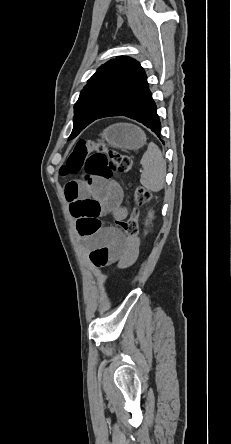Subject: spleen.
I'll return each instance as SVG.
<instances>
[{
  "label": "spleen",
  "instance_id": "3e777b00",
  "mask_svg": "<svg viewBox=\"0 0 231 444\" xmlns=\"http://www.w3.org/2000/svg\"><path fill=\"white\" fill-rule=\"evenodd\" d=\"M143 172L140 183L153 192L160 191L165 183L166 162L159 147L151 142L140 161Z\"/></svg>",
  "mask_w": 231,
  "mask_h": 444
}]
</instances>
